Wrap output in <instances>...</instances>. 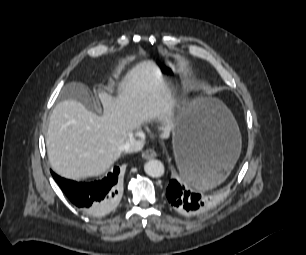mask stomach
Listing matches in <instances>:
<instances>
[{"instance_id":"stomach-1","label":"stomach","mask_w":306,"mask_h":255,"mask_svg":"<svg viewBox=\"0 0 306 255\" xmlns=\"http://www.w3.org/2000/svg\"><path fill=\"white\" fill-rule=\"evenodd\" d=\"M140 49L152 59L168 85L178 83L175 65L165 58L158 46L151 41H142ZM177 108L172 143L180 171L184 156L191 155L210 166V172L201 182L186 181L201 190L219 185L228 177L241 152V134L233 115L218 99L189 98L186 94L177 99Z\"/></svg>"}]
</instances>
